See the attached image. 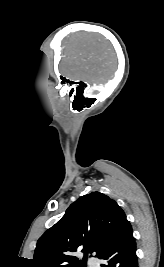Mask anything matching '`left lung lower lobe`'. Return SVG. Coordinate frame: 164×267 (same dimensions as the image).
<instances>
[{
	"label": "left lung lower lobe",
	"mask_w": 164,
	"mask_h": 267,
	"mask_svg": "<svg viewBox=\"0 0 164 267\" xmlns=\"http://www.w3.org/2000/svg\"><path fill=\"white\" fill-rule=\"evenodd\" d=\"M99 259L105 262L101 267H138L136 243L129 221L122 226Z\"/></svg>",
	"instance_id": "left-lung-lower-lobe-1"
}]
</instances>
